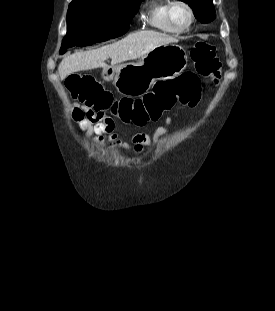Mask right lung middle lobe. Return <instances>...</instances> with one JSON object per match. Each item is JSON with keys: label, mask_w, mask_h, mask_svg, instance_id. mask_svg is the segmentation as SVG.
Instances as JSON below:
<instances>
[{"label": "right lung middle lobe", "mask_w": 275, "mask_h": 311, "mask_svg": "<svg viewBox=\"0 0 275 311\" xmlns=\"http://www.w3.org/2000/svg\"><path fill=\"white\" fill-rule=\"evenodd\" d=\"M143 0H86L71 2L67 34L60 53L73 46H86L122 35Z\"/></svg>", "instance_id": "obj_1"}]
</instances>
